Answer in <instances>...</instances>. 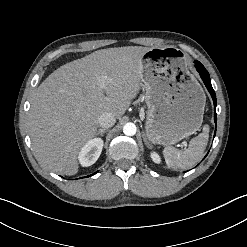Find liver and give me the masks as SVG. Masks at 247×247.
<instances>
[{"label": "liver", "mask_w": 247, "mask_h": 247, "mask_svg": "<svg viewBox=\"0 0 247 247\" xmlns=\"http://www.w3.org/2000/svg\"><path fill=\"white\" fill-rule=\"evenodd\" d=\"M148 47L97 50L51 73L36 90L29 129L39 162L55 173L78 172L80 149L97 135L98 118H121L141 86Z\"/></svg>", "instance_id": "1"}]
</instances>
